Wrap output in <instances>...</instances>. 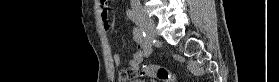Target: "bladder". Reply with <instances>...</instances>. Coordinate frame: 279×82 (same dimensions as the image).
Returning a JSON list of instances; mask_svg holds the SVG:
<instances>
[{
    "label": "bladder",
    "instance_id": "1",
    "mask_svg": "<svg viewBox=\"0 0 279 82\" xmlns=\"http://www.w3.org/2000/svg\"><path fill=\"white\" fill-rule=\"evenodd\" d=\"M119 82H147V81L140 78H130L127 80H119Z\"/></svg>",
    "mask_w": 279,
    "mask_h": 82
}]
</instances>
